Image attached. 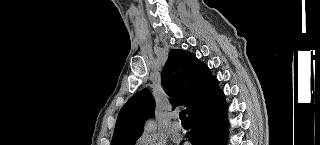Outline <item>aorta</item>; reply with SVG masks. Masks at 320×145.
<instances>
[{
  "mask_svg": "<svg viewBox=\"0 0 320 145\" xmlns=\"http://www.w3.org/2000/svg\"><path fill=\"white\" fill-rule=\"evenodd\" d=\"M146 130L147 131H152L153 130V125L152 124H149L146 126Z\"/></svg>",
  "mask_w": 320,
  "mask_h": 145,
  "instance_id": "aorta-1",
  "label": "aorta"
}]
</instances>
